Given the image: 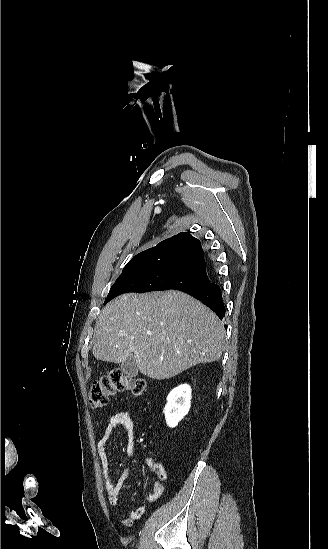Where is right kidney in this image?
<instances>
[{"mask_svg":"<svg viewBox=\"0 0 328 549\" xmlns=\"http://www.w3.org/2000/svg\"><path fill=\"white\" fill-rule=\"evenodd\" d=\"M191 391L190 385H179L170 391L164 409L168 427H176L179 421L187 415L191 407Z\"/></svg>","mask_w":328,"mask_h":549,"instance_id":"right-kidney-1","label":"right kidney"}]
</instances>
